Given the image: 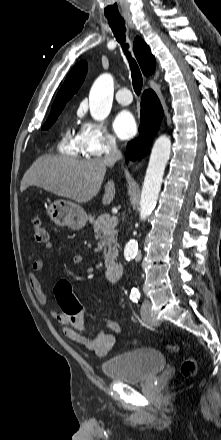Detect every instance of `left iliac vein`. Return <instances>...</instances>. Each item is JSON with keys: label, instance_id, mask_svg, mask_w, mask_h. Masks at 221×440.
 Listing matches in <instances>:
<instances>
[{"label": "left iliac vein", "instance_id": "4c4485c4", "mask_svg": "<svg viewBox=\"0 0 221 440\" xmlns=\"http://www.w3.org/2000/svg\"><path fill=\"white\" fill-rule=\"evenodd\" d=\"M141 316L143 321L146 322L147 324L152 326L158 325V320H156L151 314V304L147 300H145L142 304Z\"/></svg>", "mask_w": 221, "mask_h": 440}]
</instances>
